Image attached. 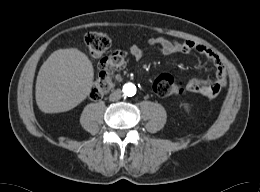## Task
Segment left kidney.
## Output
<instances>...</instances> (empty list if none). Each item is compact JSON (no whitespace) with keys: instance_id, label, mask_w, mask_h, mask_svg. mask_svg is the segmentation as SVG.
<instances>
[{"instance_id":"1","label":"left kidney","mask_w":260,"mask_h":192,"mask_svg":"<svg viewBox=\"0 0 260 192\" xmlns=\"http://www.w3.org/2000/svg\"><path fill=\"white\" fill-rule=\"evenodd\" d=\"M184 108H185L186 111H189V107H188L187 104H184Z\"/></svg>"}]
</instances>
